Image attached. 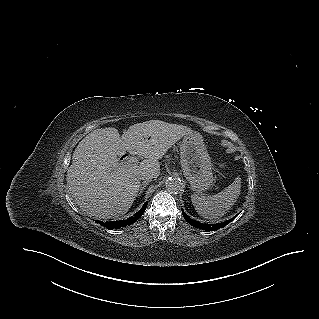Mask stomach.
I'll return each instance as SVG.
<instances>
[{
    "label": "stomach",
    "instance_id": "0dacf381",
    "mask_svg": "<svg viewBox=\"0 0 319 319\" xmlns=\"http://www.w3.org/2000/svg\"><path fill=\"white\" fill-rule=\"evenodd\" d=\"M181 167L191 189L196 193L207 190L214 181L212 163L203 137L196 132L183 137L180 144Z\"/></svg>",
    "mask_w": 319,
    "mask_h": 319
}]
</instances>
